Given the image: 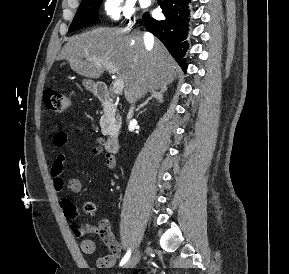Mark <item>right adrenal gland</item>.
<instances>
[{
  "mask_svg": "<svg viewBox=\"0 0 289 274\" xmlns=\"http://www.w3.org/2000/svg\"><path fill=\"white\" fill-rule=\"evenodd\" d=\"M166 91L167 87H163L157 92L155 91L152 92L151 96L148 97L147 100L137 108V111L146 106L149 103V101L152 100L153 98H155L159 103H163V95Z\"/></svg>",
  "mask_w": 289,
  "mask_h": 274,
  "instance_id": "1",
  "label": "right adrenal gland"
}]
</instances>
